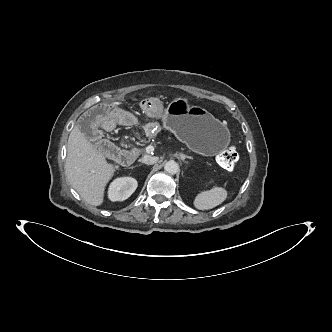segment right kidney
Masks as SVG:
<instances>
[{
    "mask_svg": "<svg viewBox=\"0 0 332 332\" xmlns=\"http://www.w3.org/2000/svg\"><path fill=\"white\" fill-rule=\"evenodd\" d=\"M137 181L131 177H121L115 179L108 191L111 201H123L129 198L137 188Z\"/></svg>",
    "mask_w": 332,
    "mask_h": 332,
    "instance_id": "right-kidney-1",
    "label": "right kidney"
}]
</instances>
